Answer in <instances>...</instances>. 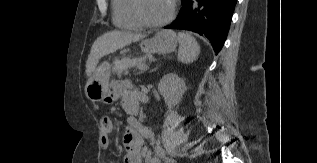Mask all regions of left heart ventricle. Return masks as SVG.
<instances>
[{"mask_svg": "<svg viewBox=\"0 0 317 163\" xmlns=\"http://www.w3.org/2000/svg\"><path fill=\"white\" fill-rule=\"evenodd\" d=\"M142 9L146 18L157 22L165 19L172 7V0H142Z\"/></svg>", "mask_w": 317, "mask_h": 163, "instance_id": "1", "label": "left heart ventricle"}]
</instances>
